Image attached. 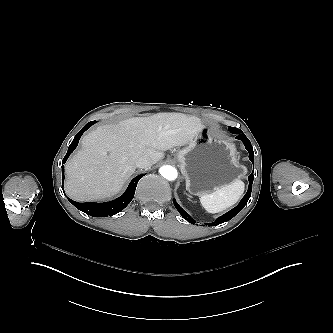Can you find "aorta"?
Wrapping results in <instances>:
<instances>
[{
  "label": "aorta",
  "instance_id": "aorta-1",
  "mask_svg": "<svg viewBox=\"0 0 333 333\" xmlns=\"http://www.w3.org/2000/svg\"><path fill=\"white\" fill-rule=\"evenodd\" d=\"M160 174L167 180L172 181L177 178V170L170 166L164 165L159 169Z\"/></svg>",
  "mask_w": 333,
  "mask_h": 333
}]
</instances>
